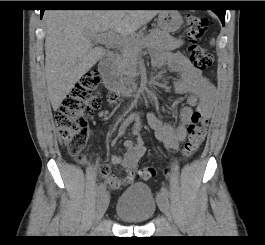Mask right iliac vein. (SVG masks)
Here are the masks:
<instances>
[{
	"label": "right iliac vein",
	"mask_w": 265,
	"mask_h": 245,
	"mask_svg": "<svg viewBox=\"0 0 265 245\" xmlns=\"http://www.w3.org/2000/svg\"><path fill=\"white\" fill-rule=\"evenodd\" d=\"M108 203H109V194L108 193H104L102 194L97 202V208H96V219L99 220L103 217V215L105 214L107 207H108Z\"/></svg>",
	"instance_id": "1"
}]
</instances>
